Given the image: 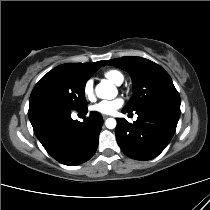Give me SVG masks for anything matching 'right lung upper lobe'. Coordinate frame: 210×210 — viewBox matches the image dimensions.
Returning <instances> with one entry per match:
<instances>
[{"label": "right lung upper lobe", "instance_id": "1", "mask_svg": "<svg viewBox=\"0 0 210 210\" xmlns=\"http://www.w3.org/2000/svg\"><path fill=\"white\" fill-rule=\"evenodd\" d=\"M103 63L104 61H99V62H94V63H66L60 66H57V68H66L79 74H90L94 70L97 71Z\"/></svg>", "mask_w": 210, "mask_h": 210}]
</instances>
